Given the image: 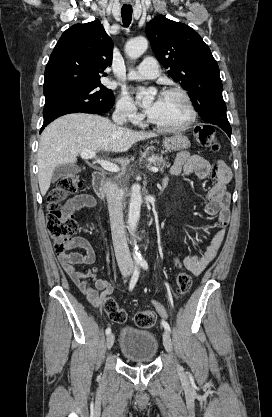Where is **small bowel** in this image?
I'll return each instance as SVG.
<instances>
[{"label": "small bowel", "instance_id": "c3829d8e", "mask_svg": "<svg viewBox=\"0 0 272 417\" xmlns=\"http://www.w3.org/2000/svg\"><path fill=\"white\" fill-rule=\"evenodd\" d=\"M172 175H195L200 180H205L211 174V164L205 158L199 155H191L187 152H180L176 155L174 163L170 168ZM231 179V171L227 165L217 161V170L212 187L205 195V212L216 217L220 225L215 232L206 250L200 255L188 256L183 260L184 267L193 275L201 274L209 263L217 256L226 230L230 222V196L226 190L227 184ZM166 183V179L163 180ZM96 201L90 194H79L70 199L65 205V213L72 215L74 212L84 207H94ZM71 247H78L85 251L81 253H60L59 261L68 274L72 282L86 297V299L95 307L101 306L105 299L113 293V285L106 279L97 276L96 252L91 243L83 237L72 239ZM76 264L89 265L86 272L79 271Z\"/></svg>", "mask_w": 272, "mask_h": 417}]
</instances>
